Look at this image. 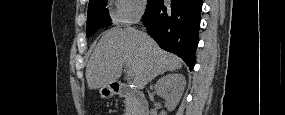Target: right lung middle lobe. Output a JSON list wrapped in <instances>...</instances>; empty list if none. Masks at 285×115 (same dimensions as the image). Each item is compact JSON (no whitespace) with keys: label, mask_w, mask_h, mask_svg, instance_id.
Instances as JSON below:
<instances>
[{"label":"right lung middle lobe","mask_w":285,"mask_h":115,"mask_svg":"<svg viewBox=\"0 0 285 115\" xmlns=\"http://www.w3.org/2000/svg\"><path fill=\"white\" fill-rule=\"evenodd\" d=\"M151 0H148V4ZM107 0H90L87 15V37L93 35L102 27L111 25L108 10L105 8Z\"/></svg>","instance_id":"1"}]
</instances>
